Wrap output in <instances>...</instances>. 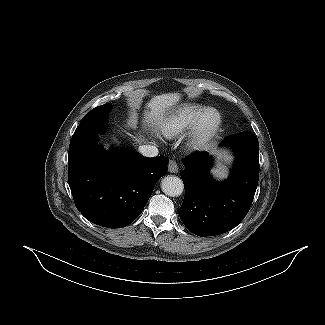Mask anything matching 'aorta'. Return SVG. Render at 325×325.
<instances>
[{"mask_svg":"<svg viewBox=\"0 0 325 325\" xmlns=\"http://www.w3.org/2000/svg\"><path fill=\"white\" fill-rule=\"evenodd\" d=\"M162 191L170 197H178L183 193L184 185L177 176H166L161 181Z\"/></svg>","mask_w":325,"mask_h":325,"instance_id":"aorta-1","label":"aorta"}]
</instances>
